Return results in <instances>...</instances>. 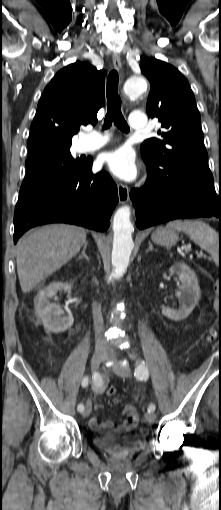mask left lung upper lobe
<instances>
[{
	"label": "left lung upper lobe",
	"mask_w": 221,
	"mask_h": 510,
	"mask_svg": "<svg viewBox=\"0 0 221 510\" xmlns=\"http://www.w3.org/2000/svg\"><path fill=\"white\" fill-rule=\"evenodd\" d=\"M151 91L146 110L157 117L163 131L141 145V154L163 186L198 183L214 186L200 126V113L186 78L156 58L140 63Z\"/></svg>",
	"instance_id": "5c2ea615"
}]
</instances>
